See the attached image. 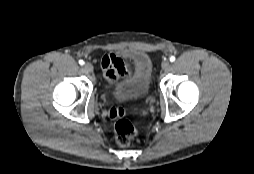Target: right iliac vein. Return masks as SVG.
Returning a JSON list of instances; mask_svg holds the SVG:
<instances>
[{
    "label": "right iliac vein",
    "instance_id": "1",
    "mask_svg": "<svg viewBox=\"0 0 254 174\" xmlns=\"http://www.w3.org/2000/svg\"><path fill=\"white\" fill-rule=\"evenodd\" d=\"M83 69H84V71L87 72V73L93 72V66H92V64H90V63H85V64L83 65Z\"/></svg>",
    "mask_w": 254,
    "mask_h": 174
}]
</instances>
